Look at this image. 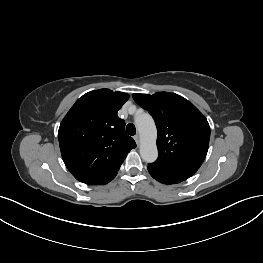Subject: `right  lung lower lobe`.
I'll list each match as a JSON object with an SVG mask.
<instances>
[{
    "instance_id": "1",
    "label": "right lung lower lobe",
    "mask_w": 263,
    "mask_h": 263,
    "mask_svg": "<svg viewBox=\"0 0 263 263\" xmlns=\"http://www.w3.org/2000/svg\"><path fill=\"white\" fill-rule=\"evenodd\" d=\"M115 176H116V174L114 176H112L111 178H109L103 182L97 183V184H106V183L110 182L112 179H114ZM92 185H95V184H92Z\"/></svg>"
}]
</instances>
